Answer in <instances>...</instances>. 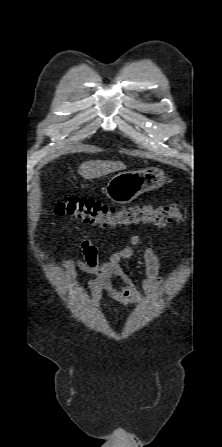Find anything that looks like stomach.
<instances>
[{
  "label": "stomach",
  "mask_w": 222,
  "mask_h": 447,
  "mask_svg": "<svg viewBox=\"0 0 222 447\" xmlns=\"http://www.w3.org/2000/svg\"><path fill=\"white\" fill-rule=\"evenodd\" d=\"M167 173L156 167L139 171L120 172L113 176L106 187L107 197L118 204H126L144 192L160 187Z\"/></svg>",
  "instance_id": "obj_1"
}]
</instances>
